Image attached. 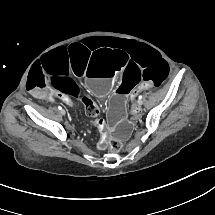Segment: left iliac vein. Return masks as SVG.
<instances>
[{"instance_id": "obj_1", "label": "left iliac vein", "mask_w": 215, "mask_h": 215, "mask_svg": "<svg viewBox=\"0 0 215 215\" xmlns=\"http://www.w3.org/2000/svg\"><path fill=\"white\" fill-rule=\"evenodd\" d=\"M141 105H142V104H140V103H136L134 106H135L136 108H139V107H141Z\"/></svg>"}]
</instances>
